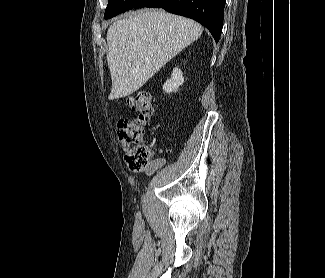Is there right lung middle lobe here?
<instances>
[{
	"instance_id": "1",
	"label": "right lung middle lobe",
	"mask_w": 325,
	"mask_h": 278,
	"mask_svg": "<svg viewBox=\"0 0 325 278\" xmlns=\"http://www.w3.org/2000/svg\"><path fill=\"white\" fill-rule=\"evenodd\" d=\"M137 0H108L105 18L109 19L121 12L131 9Z\"/></svg>"
}]
</instances>
